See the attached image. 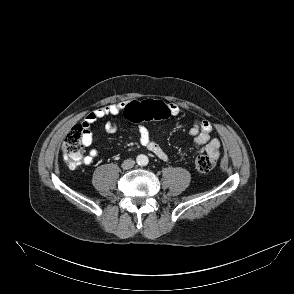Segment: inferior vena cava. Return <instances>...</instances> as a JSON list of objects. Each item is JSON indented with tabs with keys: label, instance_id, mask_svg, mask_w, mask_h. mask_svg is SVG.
<instances>
[{
	"label": "inferior vena cava",
	"instance_id": "obj_1",
	"mask_svg": "<svg viewBox=\"0 0 294 294\" xmlns=\"http://www.w3.org/2000/svg\"><path fill=\"white\" fill-rule=\"evenodd\" d=\"M135 164V161L132 160V159H127V160H124V162L122 163L121 167L123 169H131Z\"/></svg>",
	"mask_w": 294,
	"mask_h": 294
}]
</instances>
